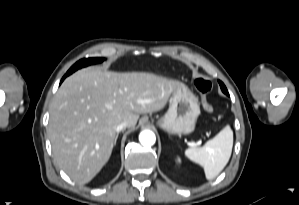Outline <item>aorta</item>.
I'll use <instances>...</instances> for the list:
<instances>
[{"instance_id":"obj_1","label":"aorta","mask_w":299,"mask_h":205,"mask_svg":"<svg viewBox=\"0 0 299 205\" xmlns=\"http://www.w3.org/2000/svg\"><path fill=\"white\" fill-rule=\"evenodd\" d=\"M139 141L143 146H152L155 144L156 136L150 130H144L139 135Z\"/></svg>"}]
</instances>
